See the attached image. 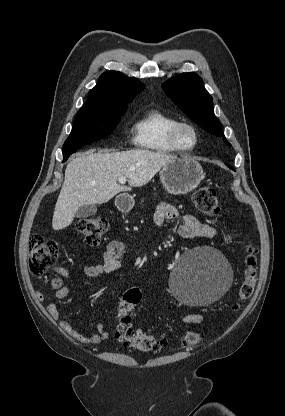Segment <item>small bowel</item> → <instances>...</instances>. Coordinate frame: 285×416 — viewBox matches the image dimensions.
I'll list each match as a JSON object with an SVG mask.
<instances>
[{"label":"small bowel","mask_w":285,"mask_h":416,"mask_svg":"<svg viewBox=\"0 0 285 416\" xmlns=\"http://www.w3.org/2000/svg\"><path fill=\"white\" fill-rule=\"evenodd\" d=\"M178 217L179 213L176 208L169 204L161 203L155 211L154 223L155 225L160 226L164 221L174 220ZM181 218L182 224L178 228V233L182 238H213L217 234V230L213 226L202 223L193 215L186 214ZM123 252L124 244L122 242L118 240L110 241L104 250L102 262L84 266V284L90 286V279L116 271L120 266V258ZM61 273L64 274L65 271L62 270ZM68 294L69 286L67 284H62L55 292V297L56 299L61 300L66 298ZM37 298L38 300L43 301L44 295L41 291L37 292ZM47 312L49 316L59 324L60 329L66 335L78 342L88 345H97L102 341L111 340L116 337V335L108 331L101 322L96 325V333L89 336L79 333L65 318L60 316L58 308L54 303L47 306ZM203 319L204 317L201 314H189L183 318V321L187 324H199Z\"/></svg>","instance_id":"obj_1"}]
</instances>
